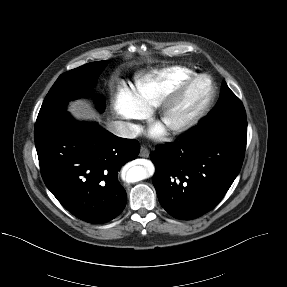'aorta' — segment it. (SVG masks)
<instances>
[{"label":"aorta","instance_id":"1","mask_svg":"<svg viewBox=\"0 0 287 287\" xmlns=\"http://www.w3.org/2000/svg\"><path fill=\"white\" fill-rule=\"evenodd\" d=\"M149 170L144 166H134L127 171L128 182H138L149 177Z\"/></svg>","mask_w":287,"mask_h":287}]
</instances>
